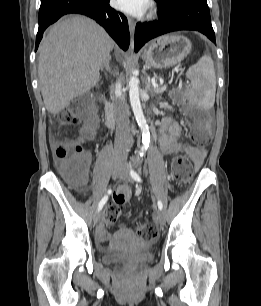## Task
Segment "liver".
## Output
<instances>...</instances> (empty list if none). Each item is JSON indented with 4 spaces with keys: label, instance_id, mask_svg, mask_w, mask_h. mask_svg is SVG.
<instances>
[{
    "label": "liver",
    "instance_id": "obj_1",
    "mask_svg": "<svg viewBox=\"0 0 261 306\" xmlns=\"http://www.w3.org/2000/svg\"><path fill=\"white\" fill-rule=\"evenodd\" d=\"M114 42L95 21L72 16L54 24L39 50L38 76L44 105L51 114L99 81Z\"/></svg>",
    "mask_w": 261,
    "mask_h": 306
}]
</instances>
